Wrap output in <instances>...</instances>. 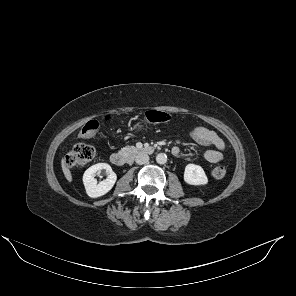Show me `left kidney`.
I'll return each instance as SVG.
<instances>
[{
  "label": "left kidney",
  "instance_id": "1",
  "mask_svg": "<svg viewBox=\"0 0 296 296\" xmlns=\"http://www.w3.org/2000/svg\"><path fill=\"white\" fill-rule=\"evenodd\" d=\"M184 181L190 185H205L208 178L201 166L188 164L184 171Z\"/></svg>",
  "mask_w": 296,
  "mask_h": 296
}]
</instances>
